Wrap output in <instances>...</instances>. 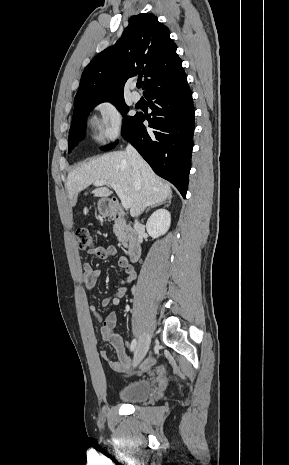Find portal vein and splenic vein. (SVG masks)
<instances>
[{
    "mask_svg": "<svg viewBox=\"0 0 289 465\" xmlns=\"http://www.w3.org/2000/svg\"><path fill=\"white\" fill-rule=\"evenodd\" d=\"M105 184L110 185L115 190V192L117 193L118 197L121 200L123 208L129 209L131 207L132 200L125 195L122 188L119 187L118 185H116L114 183H111V182L104 181V180L97 181V182L94 183L95 186H102V185H105Z\"/></svg>",
    "mask_w": 289,
    "mask_h": 465,
    "instance_id": "portal-vein-and-splenic-vein-1",
    "label": "portal vein and splenic vein"
}]
</instances>
